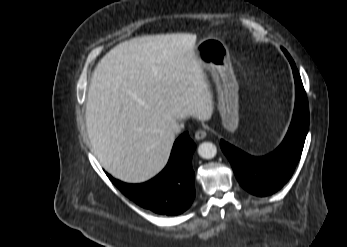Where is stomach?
Segmentation results:
<instances>
[{
  "instance_id": "1",
  "label": "stomach",
  "mask_w": 347,
  "mask_h": 247,
  "mask_svg": "<svg viewBox=\"0 0 347 247\" xmlns=\"http://www.w3.org/2000/svg\"><path fill=\"white\" fill-rule=\"evenodd\" d=\"M194 53L216 85L223 128L235 132L239 125V86L227 46L217 38H205L194 47Z\"/></svg>"
}]
</instances>
